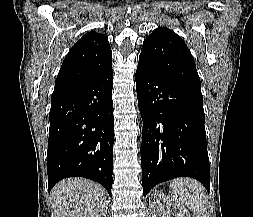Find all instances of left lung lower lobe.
I'll list each match as a JSON object with an SVG mask.
<instances>
[{"label":"left lung lower lobe","instance_id":"obj_1","mask_svg":"<svg viewBox=\"0 0 253 217\" xmlns=\"http://www.w3.org/2000/svg\"><path fill=\"white\" fill-rule=\"evenodd\" d=\"M138 104L144 196L157 184L188 176L210 190V165L201 91L173 81L139 59Z\"/></svg>","mask_w":253,"mask_h":217}]
</instances>
